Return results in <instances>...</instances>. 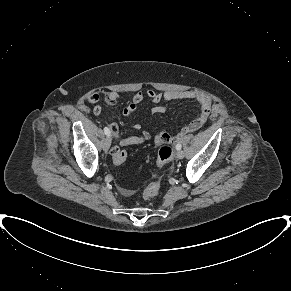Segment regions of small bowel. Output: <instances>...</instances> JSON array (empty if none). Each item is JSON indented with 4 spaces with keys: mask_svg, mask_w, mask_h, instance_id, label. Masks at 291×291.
Instances as JSON below:
<instances>
[{
    "mask_svg": "<svg viewBox=\"0 0 291 291\" xmlns=\"http://www.w3.org/2000/svg\"><path fill=\"white\" fill-rule=\"evenodd\" d=\"M110 96L114 100V102L118 98L117 93H111ZM145 97L157 104L151 109V112L154 114H162L166 112L167 107L165 105L159 104L161 102L170 103L179 100L194 101L199 106V110L196 116L185 127H183L176 136H171L164 132L156 135L154 139L156 145L175 144L179 140H181L185 134L198 130L206 122L211 107V99L206 94L200 91L189 90L156 92L154 90H147L146 92H137L132 97L131 102L122 110V115L129 116L134 113L139 103H141ZM98 100L99 95L97 94H92L88 97V101L92 104L98 102ZM93 112L95 115H99L101 112L100 106H96ZM109 127V130H111L113 136L118 140L120 146L140 144L150 138L149 134L143 130L140 124H136L134 128L137 131L141 132V135L131 136L127 138L119 137V128L116 123H110ZM114 148L119 149L118 147ZM120 191L124 196H130L133 194V191L127 188H121Z\"/></svg>",
    "mask_w": 291,
    "mask_h": 291,
    "instance_id": "c3829d8e",
    "label": "small bowel"
}]
</instances>
